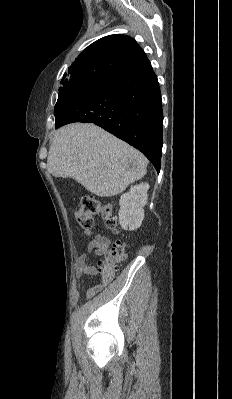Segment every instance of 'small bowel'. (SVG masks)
Returning <instances> with one entry per match:
<instances>
[{"label": "small bowel", "mask_w": 232, "mask_h": 399, "mask_svg": "<svg viewBox=\"0 0 232 399\" xmlns=\"http://www.w3.org/2000/svg\"><path fill=\"white\" fill-rule=\"evenodd\" d=\"M107 243H98L96 241H91L88 244L87 252L83 253L79 256L76 269H75V278L77 283H79L82 277L91 276L94 274V268L87 263V259L91 255L101 256L107 250ZM94 292V288L92 285H89L86 289V295L92 296Z\"/></svg>", "instance_id": "c3829d8e"}]
</instances>
